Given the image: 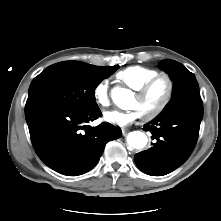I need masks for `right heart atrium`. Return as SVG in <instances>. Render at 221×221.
Returning a JSON list of instances; mask_svg holds the SVG:
<instances>
[{
  "instance_id": "d8ad5b80",
  "label": "right heart atrium",
  "mask_w": 221,
  "mask_h": 221,
  "mask_svg": "<svg viewBox=\"0 0 221 221\" xmlns=\"http://www.w3.org/2000/svg\"><path fill=\"white\" fill-rule=\"evenodd\" d=\"M93 95L100 107L105 108L110 105V93L106 81H102L95 86Z\"/></svg>"
}]
</instances>
